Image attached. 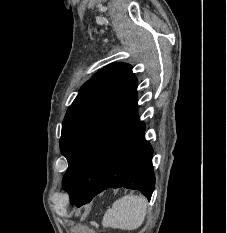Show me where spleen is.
Returning a JSON list of instances; mask_svg holds the SVG:
<instances>
[{
  "label": "spleen",
  "instance_id": "obj_1",
  "mask_svg": "<svg viewBox=\"0 0 227 233\" xmlns=\"http://www.w3.org/2000/svg\"><path fill=\"white\" fill-rule=\"evenodd\" d=\"M147 201L143 196L126 195L116 200L112 208L104 214L102 224L121 230H135L139 228L146 216Z\"/></svg>",
  "mask_w": 227,
  "mask_h": 233
}]
</instances>
